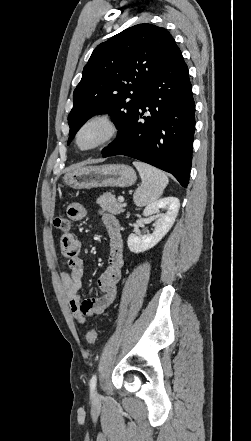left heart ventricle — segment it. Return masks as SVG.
<instances>
[{
    "instance_id": "obj_1",
    "label": "left heart ventricle",
    "mask_w": 251,
    "mask_h": 441,
    "mask_svg": "<svg viewBox=\"0 0 251 441\" xmlns=\"http://www.w3.org/2000/svg\"><path fill=\"white\" fill-rule=\"evenodd\" d=\"M104 133V128L101 125H91L86 128L80 136V145L82 147H89L96 143Z\"/></svg>"
}]
</instances>
